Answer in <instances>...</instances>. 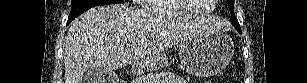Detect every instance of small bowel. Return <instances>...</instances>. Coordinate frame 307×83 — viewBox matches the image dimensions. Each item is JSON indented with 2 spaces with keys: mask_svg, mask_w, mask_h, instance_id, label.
I'll return each mask as SVG.
<instances>
[{
  "mask_svg": "<svg viewBox=\"0 0 307 83\" xmlns=\"http://www.w3.org/2000/svg\"><path fill=\"white\" fill-rule=\"evenodd\" d=\"M156 83H182V80L172 73H161Z\"/></svg>",
  "mask_w": 307,
  "mask_h": 83,
  "instance_id": "c3829d8e",
  "label": "small bowel"
}]
</instances>
